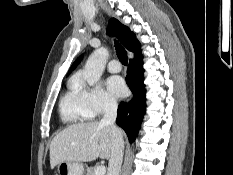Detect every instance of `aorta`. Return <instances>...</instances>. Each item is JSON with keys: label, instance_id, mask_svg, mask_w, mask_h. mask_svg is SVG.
I'll use <instances>...</instances> for the list:
<instances>
[{"label": "aorta", "instance_id": "1", "mask_svg": "<svg viewBox=\"0 0 233 175\" xmlns=\"http://www.w3.org/2000/svg\"><path fill=\"white\" fill-rule=\"evenodd\" d=\"M108 56L109 52L104 47L96 49L89 56L83 70V77L89 85L93 86L99 81L106 65Z\"/></svg>", "mask_w": 233, "mask_h": 175}]
</instances>
